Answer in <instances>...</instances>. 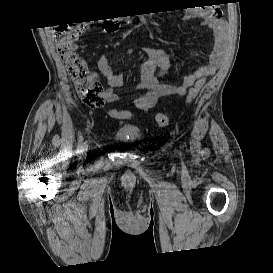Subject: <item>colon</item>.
I'll return each instance as SVG.
<instances>
[{
    "mask_svg": "<svg viewBox=\"0 0 273 273\" xmlns=\"http://www.w3.org/2000/svg\"><path fill=\"white\" fill-rule=\"evenodd\" d=\"M87 24V21H81L58 27L55 30V41L57 50L74 83L77 95L86 106L96 108L103 103L105 90L101 81L88 69L87 61L79 54L76 43ZM201 86L202 81H198L191 88L187 102H191L196 97ZM110 115L115 118H122L123 111L112 110ZM170 120V115L165 112L158 113L155 117L159 126L169 125Z\"/></svg>",
    "mask_w": 273,
    "mask_h": 273,
    "instance_id": "1",
    "label": "colon"
}]
</instances>
